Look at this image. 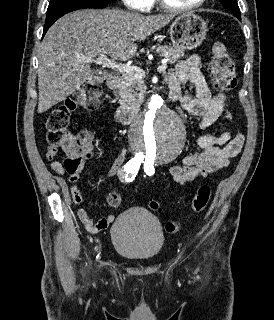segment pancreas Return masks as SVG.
Masks as SVG:
<instances>
[{"label":"pancreas","mask_w":274,"mask_h":320,"mask_svg":"<svg viewBox=\"0 0 274 320\" xmlns=\"http://www.w3.org/2000/svg\"><path fill=\"white\" fill-rule=\"evenodd\" d=\"M152 50H156L157 54L161 58L168 60L170 64H175L179 58L185 56L184 50L180 48H170V46H153ZM122 84L118 90H115L114 96H119L120 108H125V110H131V112H138L142 102L139 100L145 90L143 80L140 78H132L130 74H125L121 76Z\"/></svg>","instance_id":"1"}]
</instances>
